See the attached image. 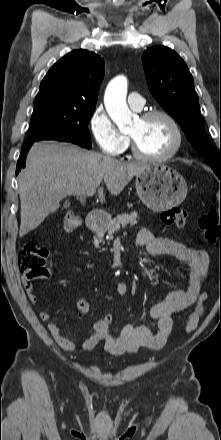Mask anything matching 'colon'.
Returning <instances> with one entry per match:
<instances>
[{
	"mask_svg": "<svg viewBox=\"0 0 221 440\" xmlns=\"http://www.w3.org/2000/svg\"><path fill=\"white\" fill-rule=\"evenodd\" d=\"M161 221L168 226L182 227L187 218V212L179 207L169 208L161 213ZM80 216L72 211H68L63 217V228L66 232H72L81 226ZM199 226L204 233L205 240L214 244L221 242V222L211 214L203 216L199 221ZM48 251L46 248L38 246L34 242L26 243L18 254V267L29 281L46 278L49 271L46 266ZM77 311L84 315L89 312L90 304L87 300L77 302ZM103 320L105 324H112L114 320L113 312H104Z\"/></svg>",
	"mask_w": 221,
	"mask_h": 440,
	"instance_id": "colon-1",
	"label": "colon"
}]
</instances>
